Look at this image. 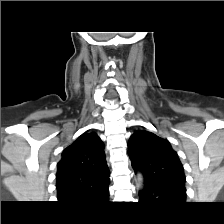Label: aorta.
<instances>
[{
  "label": "aorta",
  "instance_id": "1",
  "mask_svg": "<svg viewBox=\"0 0 224 224\" xmlns=\"http://www.w3.org/2000/svg\"><path fill=\"white\" fill-rule=\"evenodd\" d=\"M144 185V178L141 173H138L136 176V186L138 189H142Z\"/></svg>",
  "mask_w": 224,
  "mask_h": 224
}]
</instances>
